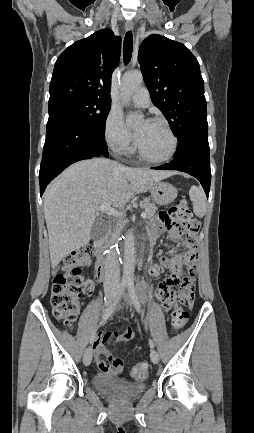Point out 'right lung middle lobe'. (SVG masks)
<instances>
[{"label":"right lung middle lobe","mask_w":254,"mask_h":433,"mask_svg":"<svg viewBox=\"0 0 254 433\" xmlns=\"http://www.w3.org/2000/svg\"><path fill=\"white\" fill-rule=\"evenodd\" d=\"M110 108V102L96 99L71 98L49 105V114L54 112L63 113L95 129L105 131V123Z\"/></svg>","instance_id":"dd1d6c3e"}]
</instances>
